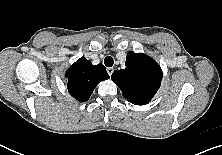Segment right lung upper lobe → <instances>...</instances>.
I'll list each match as a JSON object with an SVG mask.
<instances>
[{
  "instance_id": "cb5924a9",
  "label": "right lung upper lobe",
  "mask_w": 222,
  "mask_h": 155,
  "mask_svg": "<svg viewBox=\"0 0 222 155\" xmlns=\"http://www.w3.org/2000/svg\"><path fill=\"white\" fill-rule=\"evenodd\" d=\"M69 93L78 101L90 98L99 82L109 78L106 68L101 63L94 66L85 57H81L66 72Z\"/></svg>"
}]
</instances>
